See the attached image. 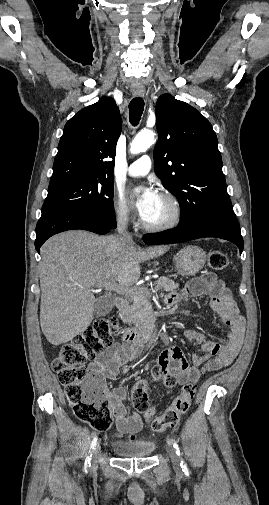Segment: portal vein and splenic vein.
Instances as JSON below:
<instances>
[{
	"mask_svg": "<svg viewBox=\"0 0 269 505\" xmlns=\"http://www.w3.org/2000/svg\"><path fill=\"white\" fill-rule=\"evenodd\" d=\"M109 290H113L117 293L122 294H132L136 291V288H129L128 286L118 285V284H110L108 286Z\"/></svg>",
	"mask_w": 269,
	"mask_h": 505,
	"instance_id": "obj_1",
	"label": "portal vein and splenic vein"
}]
</instances>
